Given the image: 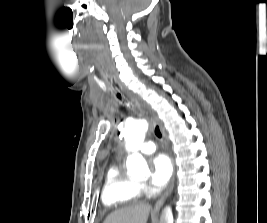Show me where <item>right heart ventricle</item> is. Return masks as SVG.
<instances>
[{
    "label": "right heart ventricle",
    "instance_id": "obj_1",
    "mask_svg": "<svg viewBox=\"0 0 267 223\" xmlns=\"http://www.w3.org/2000/svg\"><path fill=\"white\" fill-rule=\"evenodd\" d=\"M139 190V186L116 163L107 170L101 200L106 206L116 207L135 200Z\"/></svg>",
    "mask_w": 267,
    "mask_h": 223
}]
</instances>
